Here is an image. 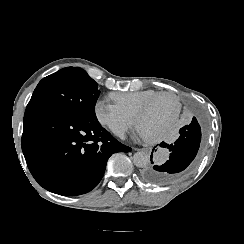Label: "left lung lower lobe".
<instances>
[{
	"label": "left lung lower lobe",
	"instance_id": "left-lung-lower-lobe-1",
	"mask_svg": "<svg viewBox=\"0 0 244 244\" xmlns=\"http://www.w3.org/2000/svg\"><path fill=\"white\" fill-rule=\"evenodd\" d=\"M180 137L173 144L160 143L169 149L170 157L163 165H148L141 178L152 185L170 186L183 180L192 169L201 142V127L195 117L191 124L180 129ZM154 150V149H153ZM151 163L153 164L152 158Z\"/></svg>",
	"mask_w": 244,
	"mask_h": 244
}]
</instances>
